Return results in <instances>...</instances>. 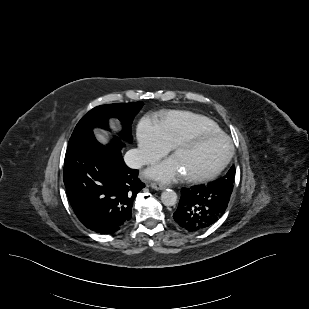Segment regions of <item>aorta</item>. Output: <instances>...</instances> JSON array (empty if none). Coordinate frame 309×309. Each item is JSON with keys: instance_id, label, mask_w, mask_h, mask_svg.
I'll list each match as a JSON object with an SVG mask.
<instances>
[{"instance_id": "1", "label": "aorta", "mask_w": 309, "mask_h": 309, "mask_svg": "<svg viewBox=\"0 0 309 309\" xmlns=\"http://www.w3.org/2000/svg\"><path fill=\"white\" fill-rule=\"evenodd\" d=\"M161 202L165 206H173V205H175L176 202H177V194H176V192L171 190V189H167V190L163 191L162 194H161Z\"/></svg>"}]
</instances>
